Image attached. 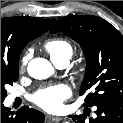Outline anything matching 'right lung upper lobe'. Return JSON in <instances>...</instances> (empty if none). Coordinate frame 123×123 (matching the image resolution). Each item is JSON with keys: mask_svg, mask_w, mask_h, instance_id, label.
Here are the masks:
<instances>
[{"mask_svg": "<svg viewBox=\"0 0 123 123\" xmlns=\"http://www.w3.org/2000/svg\"><path fill=\"white\" fill-rule=\"evenodd\" d=\"M55 19L40 20L21 16L1 19V65L19 61L23 48L47 32Z\"/></svg>", "mask_w": 123, "mask_h": 123, "instance_id": "right-lung-upper-lobe-1", "label": "right lung upper lobe"}]
</instances>
